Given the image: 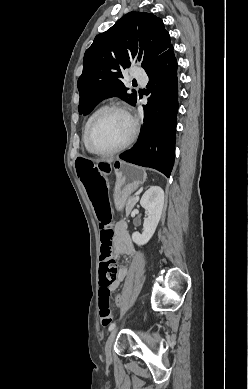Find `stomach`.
Here are the masks:
<instances>
[{"instance_id":"0dacf381","label":"stomach","mask_w":248,"mask_h":389,"mask_svg":"<svg viewBox=\"0 0 248 389\" xmlns=\"http://www.w3.org/2000/svg\"><path fill=\"white\" fill-rule=\"evenodd\" d=\"M112 167L116 175L114 202L118 209H122L130 194L145 182L147 175L142 167L120 160L114 161Z\"/></svg>"}]
</instances>
